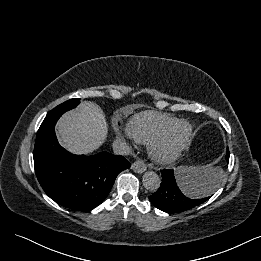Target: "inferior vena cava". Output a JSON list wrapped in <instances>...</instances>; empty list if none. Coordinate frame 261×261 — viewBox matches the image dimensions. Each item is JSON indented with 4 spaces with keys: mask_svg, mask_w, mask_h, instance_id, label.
Instances as JSON below:
<instances>
[{
    "mask_svg": "<svg viewBox=\"0 0 261 261\" xmlns=\"http://www.w3.org/2000/svg\"><path fill=\"white\" fill-rule=\"evenodd\" d=\"M129 145L122 139L113 141V152L119 155H128L130 153Z\"/></svg>",
    "mask_w": 261,
    "mask_h": 261,
    "instance_id": "obj_1",
    "label": "inferior vena cava"
}]
</instances>
